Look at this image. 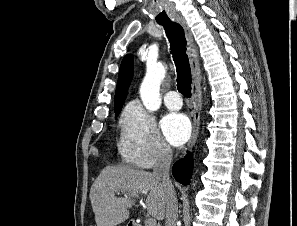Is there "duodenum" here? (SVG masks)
Instances as JSON below:
<instances>
[{
	"instance_id": "1",
	"label": "duodenum",
	"mask_w": 297,
	"mask_h": 226,
	"mask_svg": "<svg viewBox=\"0 0 297 226\" xmlns=\"http://www.w3.org/2000/svg\"><path fill=\"white\" fill-rule=\"evenodd\" d=\"M128 226H143L142 224L138 223L137 221L135 220H131L129 222V225Z\"/></svg>"
}]
</instances>
